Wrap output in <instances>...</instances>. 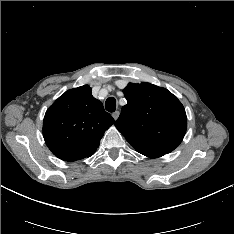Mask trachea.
Returning a JSON list of instances; mask_svg holds the SVG:
<instances>
[{"mask_svg":"<svg viewBox=\"0 0 234 234\" xmlns=\"http://www.w3.org/2000/svg\"><path fill=\"white\" fill-rule=\"evenodd\" d=\"M105 108L108 112H114L116 109V100L113 97H110L106 100Z\"/></svg>","mask_w":234,"mask_h":234,"instance_id":"trachea-1","label":"trachea"}]
</instances>
